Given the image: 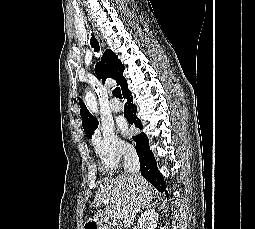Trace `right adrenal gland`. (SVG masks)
Wrapping results in <instances>:
<instances>
[{
    "instance_id": "right-adrenal-gland-1",
    "label": "right adrenal gland",
    "mask_w": 255,
    "mask_h": 229,
    "mask_svg": "<svg viewBox=\"0 0 255 229\" xmlns=\"http://www.w3.org/2000/svg\"><path fill=\"white\" fill-rule=\"evenodd\" d=\"M157 204V200L151 204H148L146 207L142 208L143 210L144 209H148L149 207H152V206H155ZM139 212H142V210H140Z\"/></svg>"
}]
</instances>
